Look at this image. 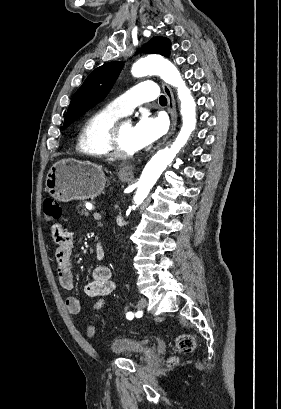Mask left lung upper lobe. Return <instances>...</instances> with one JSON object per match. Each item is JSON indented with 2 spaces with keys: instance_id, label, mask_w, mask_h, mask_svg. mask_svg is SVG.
Here are the masks:
<instances>
[{
  "instance_id": "5c2ea615",
  "label": "left lung upper lobe",
  "mask_w": 281,
  "mask_h": 409,
  "mask_svg": "<svg viewBox=\"0 0 281 409\" xmlns=\"http://www.w3.org/2000/svg\"><path fill=\"white\" fill-rule=\"evenodd\" d=\"M170 41L163 37L152 38L142 52L169 56ZM123 67L122 62H109L96 68L74 94L65 116L63 129L102 101L112 88Z\"/></svg>"
}]
</instances>
